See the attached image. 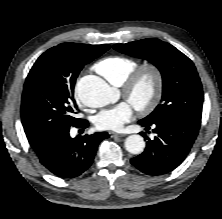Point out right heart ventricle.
<instances>
[{"mask_svg": "<svg viewBox=\"0 0 222 219\" xmlns=\"http://www.w3.org/2000/svg\"><path fill=\"white\" fill-rule=\"evenodd\" d=\"M136 67L137 62L134 59L109 56L98 61L94 69L111 84L120 86Z\"/></svg>", "mask_w": 222, "mask_h": 219, "instance_id": "obj_1", "label": "right heart ventricle"}]
</instances>
